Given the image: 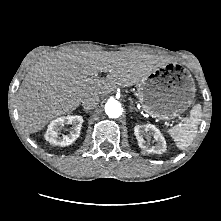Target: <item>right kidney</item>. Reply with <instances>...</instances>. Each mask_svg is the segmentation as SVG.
<instances>
[{
    "label": "right kidney",
    "instance_id": "ca27d5eb",
    "mask_svg": "<svg viewBox=\"0 0 221 221\" xmlns=\"http://www.w3.org/2000/svg\"><path fill=\"white\" fill-rule=\"evenodd\" d=\"M83 121V117L79 115L56 118L48 125L45 139L53 145L68 146L79 137ZM65 124L71 125L70 133L60 136V131Z\"/></svg>",
    "mask_w": 221,
    "mask_h": 221
}]
</instances>
